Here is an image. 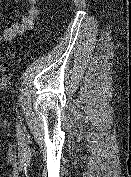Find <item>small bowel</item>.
<instances>
[{"label":"small bowel","mask_w":131,"mask_h":177,"mask_svg":"<svg viewBox=\"0 0 131 177\" xmlns=\"http://www.w3.org/2000/svg\"><path fill=\"white\" fill-rule=\"evenodd\" d=\"M28 9L17 16V21L8 27L0 29V41H11L21 37L27 30L33 28L34 22L38 17L39 10L36 6L37 0H27Z\"/></svg>","instance_id":"small-bowel-1"}]
</instances>
